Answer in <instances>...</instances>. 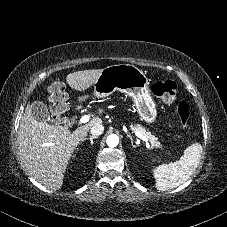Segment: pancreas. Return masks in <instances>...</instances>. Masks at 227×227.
<instances>
[{"label": "pancreas", "instance_id": "pancreas-1", "mask_svg": "<svg viewBox=\"0 0 227 227\" xmlns=\"http://www.w3.org/2000/svg\"><path fill=\"white\" fill-rule=\"evenodd\" d=\"M131 127L133 130L139 131V132L143 133L144 135L148 136L152 147L163 150V146L160 142H158V138L155 137L154 135H151L150 132H147L146 129L143 128L141 125H131Z\"/></svg>", "mask_w": 227, "mask_h": 227}]
</instances>
